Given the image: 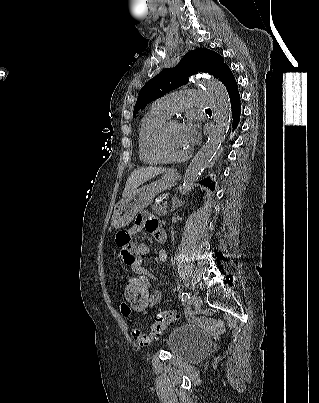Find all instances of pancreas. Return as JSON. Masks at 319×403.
<instances>
[{"label": "pancreas", "mask_w": 319, "mask_h": 403, "mask_svg": "<svg viewBox=\"0 0 319 403\" xmlns=\"http://www.w3.org/2000/svg\"><path fill=\"white\" fill-rule=\"evenodd\" d=\"M152 210L160 216H165L167 214V207L160 202L154 203L152 205Z\"/></svg>", "instance_id": "1"}]
</instances>
